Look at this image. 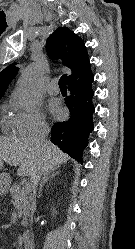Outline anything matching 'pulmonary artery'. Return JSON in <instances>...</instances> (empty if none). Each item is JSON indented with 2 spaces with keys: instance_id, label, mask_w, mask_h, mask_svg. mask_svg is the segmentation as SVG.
Masks as SVG:
<instances>
[{
  "instance_id": "1",
  "label": "pulmonary artery",
  "mask_w": 135,
  "mask_h": 249,
  "mask_svg": "<svg viewBox=\"0 0 135 249\" xmlns=\"http://www.w3.org/2000/svg\"><path fill=\"white\" fill-rule=\"evenodd\" d=\"M47 91L51 95H57L60 91L57 81H52L47 88Z\"/></svg>"
}]
</instances>
